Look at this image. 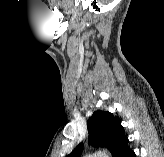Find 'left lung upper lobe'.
<instances>
[{
	"label": "left lung upper lobe",
	"instance_id": "left-lung-upper-lobe-1",
	"mask_svg": "<svg viewBox=\"0 0 164 157\" xmlns=\"http://www.w3.org/2000/svg\"><path fill=\"white\" fill-rule=\"evenodd\" d=\"M89 143L96 146L109 147L111 152L127 137L121 120L107 111H96L87 122ZM83 150L82 143L79 144L66 157H81Z\"/></svg>",
	"mask_w": 164,
	"mask_h": 157
}]
</instances>
